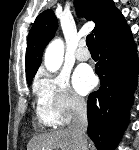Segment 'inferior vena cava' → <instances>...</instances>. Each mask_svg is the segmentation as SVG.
<instances>
[{
	"label": "inferior vena cava",
	"instance_id": "602c4592",
	"mask_svg": "<svg viewBox=\"0 0 139 150\" xmlns=\"http://www.w3.org/2000/svg\"><path fill=\"white\" fill-rule=\"evenodd\" d=\"M72 101L73 119L68 130L71 132L75 140L76 150H88L86 138L88 125L86 103L77 97L73 98Z\"/></svg>",
	"mask_w": 139,
	"mask_h": 150
}]
</instances>
